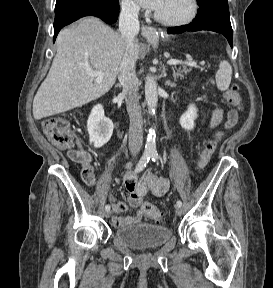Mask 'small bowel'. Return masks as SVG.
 Wrapping results in <instances>:
<instances>
[{"label":"small bowel","instance_id":"small-bowel-1","mask_svg":"<svg viewBox=\"0 0 273 288\" xmlns=\"http://www.w3.org/2000/svg\"><path fill=\"white\" fill-rule=\"evenodd\" d=\"M203 100L208 102L207 97L204 95ZM224 118V111L216 107L209 117V129L217 127ZM238 121V113L236 110L231 109L226 114L224 127L230 129L236 125ZM71 160L78 163L81 169V178L83 182L88 186H94L96 184V178L94 173L95 159L91 153L85 150L80 144L76 149H72L68 152ZM128 171L124 178L125 187L129 193L128 203L129 205L137 209L132 215L118 216L115 215L112 218V222L116 227H123L131 224L140 223L143 219L144 212L141 205L143 198L146 194L151 193L156 197L164 196L170 187L168 178L157 176L154 174H145L142 177L135 176L131 171V165H127ZM113 212L120 214L124 212L127 206L120 201L112 199L111 201Z\"/></svg>","mask_w":273,"mask_h":288}]
</instances>
